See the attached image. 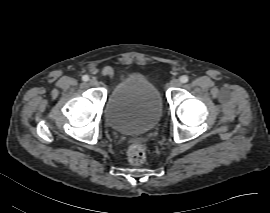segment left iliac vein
<instances>
[{"label": "left iliac vein", "instance_id": "1", "mask_svg": "<svg viewBox=\"0 0 270 213\" xmlns=\"http://www.w3.org/2000/svg\"><path fill=\"white\" fill-rule=\"evenodd\" d=\"M181 85V81L179 79H172L170 81V86L171 87H179Z\"/></svg>", "mask_w": 270, "mask_h": 213}]
</instances>
